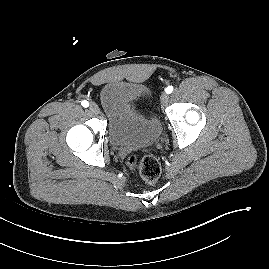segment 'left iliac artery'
<instances>
[{"mask_svg": "<svg viewBox=\"0 0 269 269\" xmlns=\"http://www.w3.org/2000/svg\"><path fill=\"white\" fill-rule=\"evenodd\" d=\"M165 91H166L167 94L172 93V91H173V86H168V87L166 88Z\"/></svg>", "mask_w": 269, "mask_h": 269, "instance_id": "1", "label": "left iliac artery"}]
</instances>
